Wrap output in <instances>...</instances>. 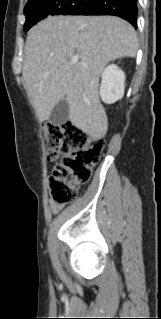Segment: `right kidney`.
Returning <instances> with one entry per match:
<instances>
[{"label": "right kidney", "mask_w": 161, "mask_h": 319, "mask_svg": "<svg viewBox=\"0 0 161 319\" xmlns=\"http://www.w3.org/2000/svg\"><path fill=\"white\" fill-rule=\"evenodd\" d=\"M125 74L116 65L107 66L102 72L100 96L105 103L111 104L120 100L124 95Z\"/></svg>", "instance_id": "ca27d5eb"}]
</instances>
